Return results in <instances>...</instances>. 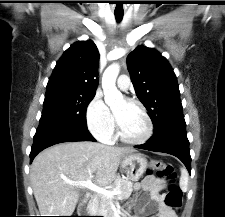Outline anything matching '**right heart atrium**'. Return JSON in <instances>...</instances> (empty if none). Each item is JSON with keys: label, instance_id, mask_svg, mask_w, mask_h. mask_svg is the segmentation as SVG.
Segmentation results:
<instances>
[{"label": "right heart atrium", "instance_id": "right-heart-atrium-1", "mask_svg": "<svg viewBox=\"0 0 225 217\" xmlns=\"http://www.w3.org/2000/svg\"><path fill=\"white\" fill-rule=\"evenodd\" d=\"M86 123L89 131L100 140H110L114 134L113 115L99 94L91 99L86 108Z\"/></svg>", "mask_w": 225, "mask_h": 217}]
</instances>
